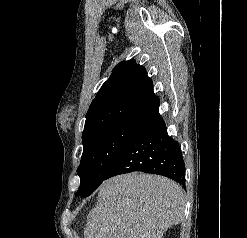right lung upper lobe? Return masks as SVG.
Returning <instances> with one entry per match:
<instances>
[{
  "label": "right lung upper lobe",
  "mask_w": 247,
  "mask_h": 238,
  "mask_svg": "<svg viewBox=\"0 0 247 238\" xmlns=\"http://www.w3.org/2000/svg\"><path fill=\"white\" fill-rule=\"evenodd\" d=\"M160 100L143 66L131 59L118 64L92 101L82 137L121 119H144L157 115Z\"/></svg>",
  "instance_id": "1"
}]
</instances>
